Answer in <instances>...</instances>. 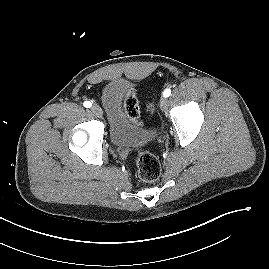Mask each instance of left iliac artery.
<instances>
[{
  "instance_id": "left-iliac-artery-1",
  "label": "left iliac artery",
  "mask_w": 269,
  "mask_h": 269,
  "mask_svg": "<svg viewBox=\"0 0 269 269\" xmlns=\"http://www.w3.org/2000/svg\"><path fill=\"white\" fill-rule=\"evenodd\" d=\"M170 94H171V89H169V88L165 89L164 92H163L164 97H169Z\"/></svg>"
}]
</instances>
